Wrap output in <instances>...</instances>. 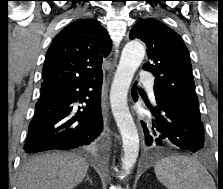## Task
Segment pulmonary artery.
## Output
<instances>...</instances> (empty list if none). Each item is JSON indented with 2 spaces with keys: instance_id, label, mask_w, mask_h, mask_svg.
I'll list each match as a JSON object with an SVG mask.
<instances>
[{
  "instance_id": "1",
  "label": "pulmonary artery",
  "mask_w": 223,
  "mask_h": 189,
  "mask_svg": "<svg viewBox=\"0 0 223 189\" xmlns=\"http://www.w3.org/2000/svg\"><path fill=\"white\" fill-rule=\"evenodd\" d=\"M140 77H141V80L148 83L149 91L151 94H153L152 75L149 72H142Z\"/></svg>"
}]
</instances>
